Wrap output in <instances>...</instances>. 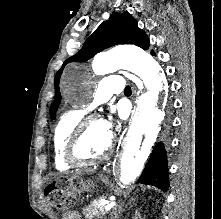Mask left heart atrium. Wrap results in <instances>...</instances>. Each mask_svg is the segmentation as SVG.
I'll list each match as a JSON object with an SVG mask.
<instances>
[{
	"label": "left heart atrium",
	"instance_id": "left-heart-atrium-1",
	"mask_svg": "<svg viewBox=\"0 0 221 219\" xmlns=\"http://www.w3.org/2000/svg\"><path fill=\"white\" fill-rule=\"evenodd\" d=\"M102 127L108 132L110 133L112 131L113 128V124L111 120H104L102 121Z\"/></svg>",
	"mask_w": 221,
	"mask_h": 219
}]
</instances>
